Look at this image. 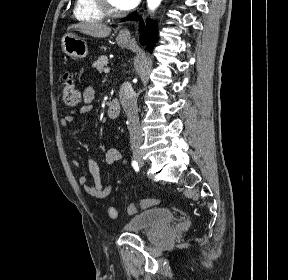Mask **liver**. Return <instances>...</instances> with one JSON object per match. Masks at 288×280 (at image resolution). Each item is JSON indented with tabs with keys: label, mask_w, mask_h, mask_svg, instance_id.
Listing matches in <instances>:
<instances>
[{
	"label": "liver",
	"mask_w": 288,
	"mask_h": 280,
	"mask_svg": "<svg viewBox=\"0 0 288 280\" xmlns=\"http://www.w3.org/2000/svg\"><path fill=\"white\" fill-rule=\"evenodd\" d=\"M69 29H76L83 34L98 38H105L111 32L110 27L101 23H78L70 26Z\"/></svg>",
	"instance_id": "liver-1"
}]
</instances>
